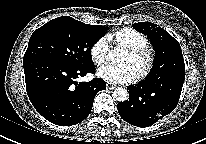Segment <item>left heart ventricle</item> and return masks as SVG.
I'll return each instance as SVG.
<instances>
[{
	"label": "left heart ventricle",
	"instance_id": "left-heart-ventricle-1",
	"mask_svg": "<svg viewBox=\"0 0 206 144\" xmlns=\"http://www.w3.org/2000/svg\"><path fill=\"white\" fill-rule=\"evenodd\" d=\"M120 61L122 63L131 64L133 66V68L135 69L137 74L139 73V71L141 70V68L143 66V60L132 56L128 51H125V53L123 54Z\"/></svg>",
	"mask_w": 206,
	"mask_h": 144
}]
</instances>
